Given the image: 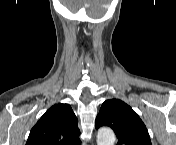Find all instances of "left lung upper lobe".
<instances>
[{"mask_svg":"<svg viewBox=\"0 0 176 145\" xmlns=\"http://www.w3.org/2000/svg\"><path fill=\"white\" fill-rule=\"evenodd\" d=\"M111 127L117 145H152L148 130L132 108L119 99L105 101L96 118L95 127Z\"/></svg>","mask_w":176,"mask_h":145,"instance_id":"left-lung-upper-lobe-1","label":"left lung upper lobe"}]
</instances>
